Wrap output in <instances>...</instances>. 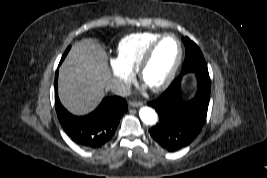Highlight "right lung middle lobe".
Returning <instances> with one entry per match:
<instances>
[{"mask_svg": "<svg viewBox=\"0 0 267 178\" xmlns=\"http://www.w3.org/2000/svg\"><path fill=\"white\" fill-rule=\"evenodd\" d=\"M69 50H70V46L66 49L65 53L63 54L62 59H61L62 61L66 57V55L69 52Z\"/></svg>", "mask_w": 267, "mask_h": 178, "instance_id": "obj_1", "label": "right lung middle lobe"}]
</instances>
